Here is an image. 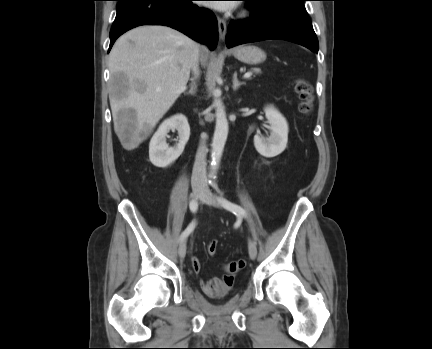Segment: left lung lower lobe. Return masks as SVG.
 I'll return each instance as SVG.
<instances>
[{"instance_id":"1","label":"left lung lower lobe","mask_w":432,"mask_h":349,"mask_svg":"<svg viewBox=\"0 0 432 349\" xmlns=\"http://www.w3.org/2000/svg\"><path fill=\"white\" fill-rule=\"evenodd\" d=\"M249 2L251 18L231 22L226 35V45L269 39H281L300 44L318 52V39L312 23L299 0H244Z\"/></svg>"}]
</instances>
